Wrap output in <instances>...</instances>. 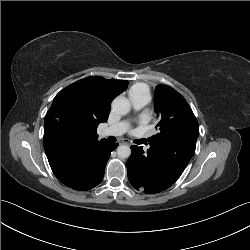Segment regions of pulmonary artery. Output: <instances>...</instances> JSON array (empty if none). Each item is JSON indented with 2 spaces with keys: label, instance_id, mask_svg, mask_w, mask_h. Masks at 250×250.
<instances>
[{
  "label": "pulmonary artery",
  "instance_id": "e3ab8cb5",
  "mask_svg": "<svg viewBox=\"0 0 250 250\" xmlns=\"http://www.w3.org/2000/svg\"><path fill=\"white\" fill-rule=\"evenodd\" d=\"M131 103L134 107V109L138 110L144 107L147 104V100L145 98L137 97V98H131ZM128 129V124L125 121L119 122L117 124H114L112 126H109L105 128L102 131V136L103 137H108V136H120L123 133H125Z\"/></svg>",
  "mask_w": 250,
  "mask_h": 250
}]
</instances>
